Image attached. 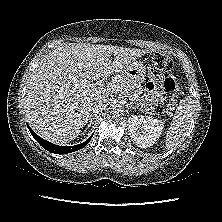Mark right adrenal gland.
<instances>
[{"label":"right adrenal gland","instance_id":"2a0ac1e0","mask_svg":"<svg viewBox=\"0 0 222 222\" xmlns=\"http://www.w3.org/2000/svg\"><path fill=\"white\" fill-rule=\"evenodd\" d=\"M95 116V114H89V116H88V118H90V125H91V123H92V117H94Z\"/></svg>","mask_w":222,"mask_h":222}]
</instances>
